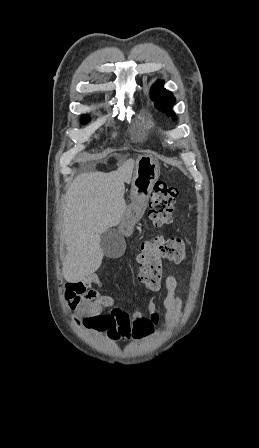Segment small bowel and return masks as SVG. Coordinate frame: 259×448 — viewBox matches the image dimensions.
Listing matches in <instances>:
<instances>
[{"instance_id":"1","label":"small bowel","mask_w":259,"mask_h":448,"mask_svg":"<svg viewBox=\"0 0 259 448\" xmlns=\"http://www.w3.org/2000/svg\"><path fill=\"white\" fill-rule=\"evenodd\" d=\"M95 284L99 289L104 285L96 274L68 285L66 298L69 306L82 318L87 328L102 331L112 340L141 339L153 333L159 323V315L153 300L148 303L147 314L135 312L128 314L116 306L113 297L101 294L91 288ZM167 295L163 305L164 321L168 328L174 327L182 314V301L178 296L177 280L168 276L165 280Z\"/></svg>"}]
</instances>
